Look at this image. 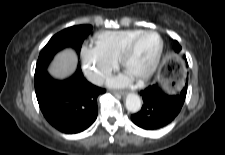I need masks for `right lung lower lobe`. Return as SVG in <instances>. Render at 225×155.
<instances>
[{
  "mask_svg": "<svg viewBox=\"0 0 225 155\" xmlns=\"http://www.w3.org/2000/svg\"><path fill=\"white\" fill-rule=\"evenodd\" d=\"M105 89L89 83L80 64L68 79L57 81L49 77L47 68L35 75V92L46 120L63 133H79L97 118V97Z\"/></svg>",
  "mask_w": 225,
  "mask_h": 155,
  "instance_id": "right-lung-lower-lobe-1",
  "label": "right lung lower lobe"
}]
</instances>
